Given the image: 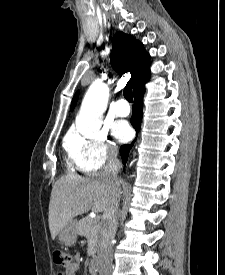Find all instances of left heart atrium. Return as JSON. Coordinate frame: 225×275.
Returning <instances> with one entry per match:
<instances>
[{"label": "left heart atrium", "instance_id": "left-heart-atrium-1", "mask_svg": "<svg viewBox=\"0 0 225 275\" xmlns=\"http://www.w3.org/2000/svg\"><path fill=\"white\" fill-rule=\"evenodd\" d=\"M113 135L120 141L127 140L131 135V129L126 122L118 121L112 126Z\"/></svg>", "mask_w": 225, "mask_h": 275}]
</instances>
